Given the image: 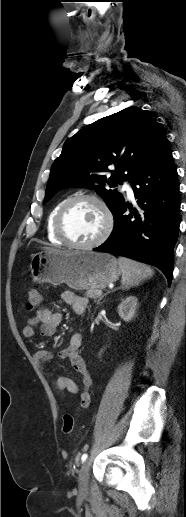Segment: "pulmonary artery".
<instances>
[{
  "label": "pulmonary artery",
  "instance_id": "pulmonary-artery-1",
  "mask_svg": "<svg viewBox=\"0 0 186 517\" xmlns=\"http://www.w3.org/2000/svg\"><path fill=\"white\" fill-rule=\"evenodd\" d=\"M123 189L126 191L128 197L130 199H132L134 197V192H133V189L131 187V184L126 181L124 184H123Z\"/></svg>",
  "mask_w": 186,
  "mask_h": 517
}]
</instances>
